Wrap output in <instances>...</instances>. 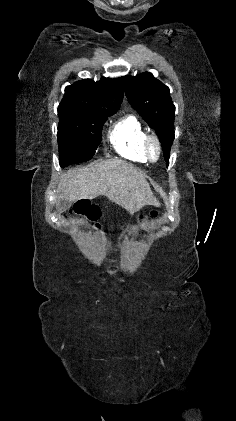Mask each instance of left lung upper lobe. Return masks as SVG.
Here are the masks:
<instances>
[{
	"mask_svg": "<svg viewBox=\"0 0 236 421\" xmlns=\"http://www.w3.org/2000/svg\"><path fill=\"white\" fill-rule=\"evenodd\" d=\"M121 82L131 106L155 130L168 162L174 140L175 117L169 88L147 72L135 77L124 76Z\"/></svg>",
	"mask_w": 236,
	"mask_h": 421,
	"instance_id": "1",
	"label": "left lung upper lobe"
}]
</instances>
